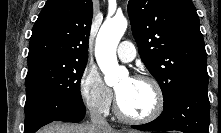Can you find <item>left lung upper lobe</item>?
Masks as SVG:
<instances>
[{
    "label": "left lung upper lobe",
    "mask_w": 221,
    "mask_h": 133,
    "mask_svg": "<svg viewBox=\"0 0 221 133\" xmlns=\"http://www.w3.org/2000/svg\"><path fill=\"white\" fill-rule=\"evenodd\" d=\"M139 54L169 103L183 88L208 85L207 54L191 0H129Z\"/></svg>",
    "instance_id": "left-lung-upper-lobe-1"
}]
</instances>
